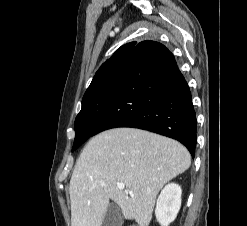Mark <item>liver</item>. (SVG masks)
<instances>
[{
  "mask_svg": "<svg viewBox=\"0 0 247 226\" xmlns=\"http://www.w3.org/2000/svg\"><path fill=\"white\" fill-rule=\"evenodd\" d=\"M190 164L188 150L161 135L134 128L96 135L80 154L70 180L71 226H101L110 200L126 219L148 226L159 191Z\"/></svg>",
  "mask_w": 247,
  "mask_h": 226,
  "instance_id": "liver-1",
  "label": "liver"
}]
</instances>
